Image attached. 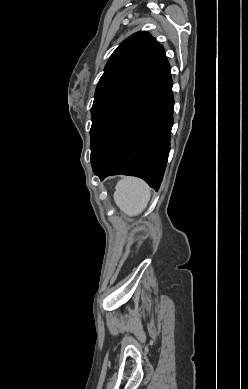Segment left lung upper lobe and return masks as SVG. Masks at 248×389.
Listing matches in <instances>:
<instances>
[{"mask_svg":"<svg viewBox=\"0 0 248 389\" xmlns=\"http://www.w3.org/2000/svg\"><path fill=\"white\" fill-rule=\"evenodd\" d=\"M164 52L163 46L146 31L134 33L119 45L109 58L98 82L91 108L92 125L99 114L126 91ZM90 137L92 152L103 146L106 141L99 139L92 127Z\"/></svg>","mask_w":248,"mask_h":389,"instance_id":"obj_1","label":"left lung upper lobe"}]
</instances>
